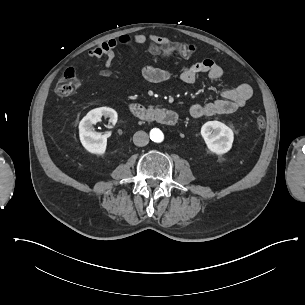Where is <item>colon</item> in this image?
<instances>
[{
	"label": "colon",
	"mask_w": 305,
	"mask_h": 305,
	"mask_svg": "<svg viewBox=\"0 0 305 305\" xmlns=\"http://www.w3.org/2000/svg\"><path fill=\"white\" fill-rule=\"evenodd\" d=\"M121 45L129 46L132 45L133 36L130 33H126L122 36H119ZM163 52H173L177 51L186 57L193 56L196 53V47L194 44H174L166 43L165 47L162 49ZM104 74H108L104 72ZM80 87V79L77 76L76 72L72 69H69L64 72L61 79L58 81L55 92L60 99H66L73 93H75ZM256 124L258 127H265L266 120L264 116L259 115L256 117Z\"/></svg>",
	"instance_id": "obj_1"
}]
</instances>
